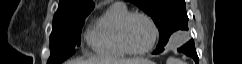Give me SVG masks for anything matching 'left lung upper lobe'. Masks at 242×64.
Wrapping results in <instances>:
<instances>
[{
	"instance_id": "1",
	"label": "left lung upper lobe",
	"mask_w": 242,
	"mask_h": 64,
	"mask_svg": "<svg viewBox=\"0 0 242 64\" xmlns=\"http://www.w3.org/2000/svg\"><path fill=\"white\" fill-rule=\"evenodd\" d=\"M147 13L159 29L157 48L165 47L176 30H188L184 0H128Z\"/></svg>"
}]
</instances>
